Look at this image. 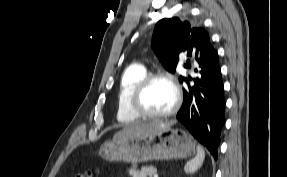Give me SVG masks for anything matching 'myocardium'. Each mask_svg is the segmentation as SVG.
<instances>
[{
	"label": "myocardium",
	"instance_id": "f54148a6",
	"mask_svg": "<svg viewBox=\"0 0 287 177\" xmlns=\"http://www.w3.org/2000/svg\"><path fill=\"white\" fill-rule=\"evenodd\" d=\"M157 80L165 81L168 83L174 92V103L172 107L168 111L159 114L148 112L141 105V99L145 90L152 82ZM181 100V91L175 80L167 73L156 72L146 74L137 84L130 98V106L131 109L142 118L163 119L174 115L179 110L181 106Z\"/></svg>",
	"mask_w": 287,
	"mask_h": 177
}]
</instances>
